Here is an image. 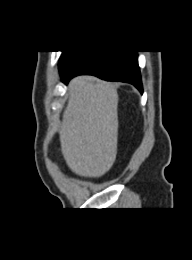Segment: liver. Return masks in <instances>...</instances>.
<instances>
[{"mask_svg":"<svg viewBox=\"0 0 192 260\" xmlns=\"http://www.w3.org/2000/svg\"><path fill=\"white\" fill-rule=\"evenodd\" d=\"M118 95L106 82L78 76L69 83V100L59 131L68 167L83 177H100L117 154Z\"/></svg>","mask_w":192,"mask_h":260,"instance_id":"1","label":"liver"}]
</instances>
